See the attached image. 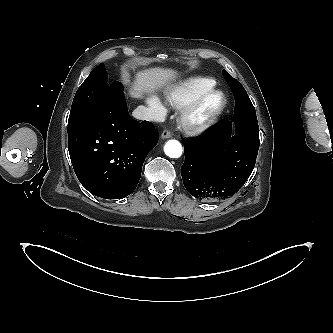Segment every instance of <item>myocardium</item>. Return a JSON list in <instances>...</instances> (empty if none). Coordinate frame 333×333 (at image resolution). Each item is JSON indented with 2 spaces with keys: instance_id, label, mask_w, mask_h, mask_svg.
I'll list each match as a JSON object with an SVG mask.
<instances>
[{
  "instance_id": "1",
  "label": "myocardium",
  "mask_w": 333,
  "mask_h": 333,
  "mask_svg": "<svg viewBox=\"0 0 333 333\" xmlns=\"http://www.w3.org/2000/svg\"><path fill=\"white\" fill-rule=\"evenodd\" d=\"M209 100L213 103L206 108ZM228 104L226 93L218 88H211L185 106L179 117L181 128L189 134H202L213 127L224 113Z\"/></svg>"
}]
</instances>
